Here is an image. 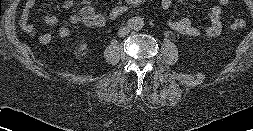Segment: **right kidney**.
Masks as SVG:
<instances>
[{
  "label": "right kidney",
  "instance_id": "ca27d5eb",
  "mask_svg": "<svg viewBox=\"0 0 253 131\" xmlns=\"http://www.w3.org/2000/svg\"><path fill=\"white\" fill-rule=\"evenodd\" d=\"M77 50L78 52H76L75 54H80L81 52L86 50V45L85 44L80 45V47Z\"/></svg>",
  "mask_w": 253,
  "mask_h": 131
}]
</instances>
